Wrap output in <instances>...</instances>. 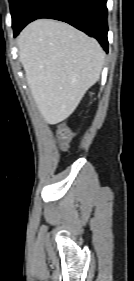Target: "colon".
<instances>
[{
  "instance_id": "colon-1",
  "label": "colon",
  "mask_w": 134,
  "mask_h": 281,
  "mask_svg": "<svg viewBox=\"0 0 134 281\" xmlns=\"http://www.w3.org/2000/svg\"><path fill=\"white\" fill-rule=\"evenodd\" d=\"M58 134H59V137L61 139V144L62 146L65 148L68 146L70 140H71V132L70 130L65 127L64 125H60L58 127Z\"/></svg>"
}]
</instances>
